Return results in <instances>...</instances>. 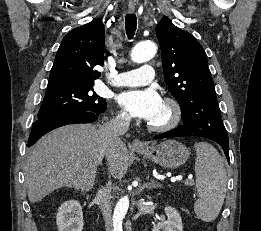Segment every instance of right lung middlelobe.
I'll return each mask as SVG.
<instances>
[{"label": "right lung middle lobe", "instance_id": "1", "mask_svg": "<svg viewBox=\"0 0 261 231\" xmlns=\"http://www.w3.org/2000/svg\"><path fill=\"white\" fill-rule=\"evenodd\" d=\"M106 107V101L94 92L93 85L51 87L47 88L37 118L75 111H102Z\"/></svg>", "mask_w": 261, "mask_h": 231}]
</instances>
